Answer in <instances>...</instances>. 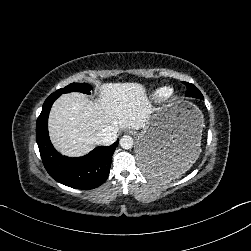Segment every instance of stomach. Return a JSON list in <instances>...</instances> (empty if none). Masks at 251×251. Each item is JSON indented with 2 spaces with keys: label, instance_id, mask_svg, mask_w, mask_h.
<instances>
[{
  "label": "stomach",
  "instance_id": "stomach-1",
  "mask_svg": "<svg viewBox=\"0 0 251 251\" xmlns=\"http://www.w3.org/2000/svg\"><path fill=\"white\" fill-rule=\"evenodd\" d=\"M204 116L193 103L178 101L152 110L138 133L135 153L141 171L149 178L173 183L199 163Z\"/></svg>",
  "mask_w": 251,
  "mask_h": 251
}]
</instances>
